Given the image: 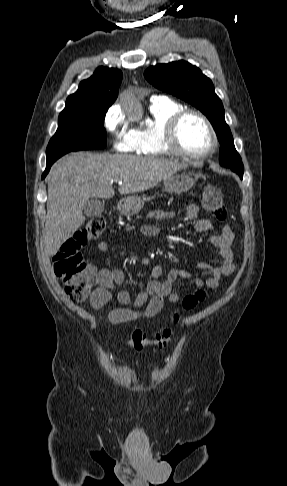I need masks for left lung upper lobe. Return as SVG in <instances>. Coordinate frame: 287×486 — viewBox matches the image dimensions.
<instances>
[{
    "instance_id": "1",
    "label": "left lung upper lobe",
    "mask_w": 287,
    "mask_h": 486,
    "mask_svg": "<svg viewBox=\"0 0 287 486\" xmlns=\"http://www.w3.org/2000/svg\"><path fill=\"white\" fill-rule=\"evenodd\" d=\"M144 76L156 88L185 100L206 115L221 144L220 165L232 169L242 178L243 163L235 149L230 128L225 122L222 101L216 95L212 81L199 68L183 60L151 66Z\"/></svg>"
}]
</instances>
